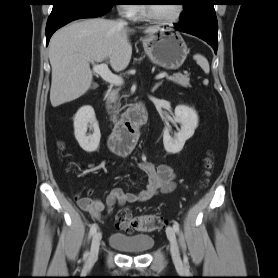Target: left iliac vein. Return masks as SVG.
<instances>
[{"label":"left iliac vein","mask_w":278,"mask_h":278,"mask_svg":"<svg viewBox=\"0 0 278 278\" xmlns=\"http://www.w3.org/2000/svg\"><path fill=\"white\" fill-rule=\"evenodd\" d=\"M166 234H167L168 240L170 242V252H171L172 259L175 264L180 265L181 258H180V254H179V248H178V244H177L175 231L171 226H167Z\"/></svg>","instance_id":"obj_1"}]
</instances>
